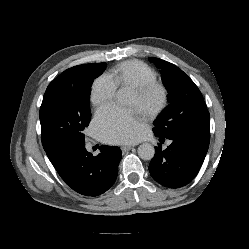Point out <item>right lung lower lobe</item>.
Segmentation results:
<instances>
[{
	"instance_id": "right-lung-lower-lobe-1",
	"label": "right lung lower lobe",
	"mask_w": 249,
	"mask_h": 249,
	"mask_svg": "<svg viewBox=\"0 0 249 249\" xmlns=\"http://www.w3.org/2000/svg\"><path fill=\"white\" fill-rule=\"evenodd\" d=\"M47 156L65 183L86 196H98L115 182L121 150L101 146L100 154L93 156L85 143H67L46 151Z\"/></svg>"
}]
</instances>
